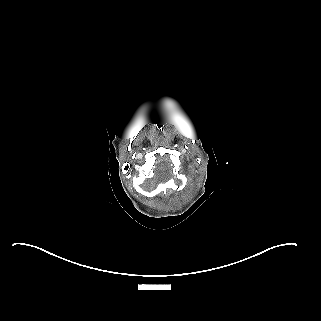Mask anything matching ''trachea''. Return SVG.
I'll return each mask as SVG.
<instances>
[{"instance_id":"1","label":"trachea","mask_w":321,"mask_h":321,"mask_svg":"<svg viewBox=\"0 0 321 321\" xmlns=\"http://www.w3.org/2000/svg\"><path fill=\"white\" fill-rule=\"evenodd\" d=\"M162 128H163V121H162L161 119H158V120L156 121L155 129H156L157 131H160Z\"/></svg>"}]
</instances>
